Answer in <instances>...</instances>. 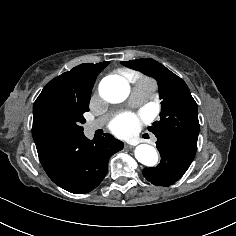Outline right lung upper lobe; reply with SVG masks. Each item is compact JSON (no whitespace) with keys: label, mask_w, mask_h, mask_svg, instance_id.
<instances>
[{"label":"right lung upper lobe","mask_w":236,"mask_h":236,"mask_svg":"<svg viewBox=\"0 0 236 236\" xmlns=\"http://www.w3.org/2000/svg\"><path fill=\"white\" fill-rule=\"evenodd\" d=\"M109 64H81L52 79L36 99V107L43 101L59 103H84L90 95L97 75Z\"/></svg>","instance_id":"1"}]
</instances>
